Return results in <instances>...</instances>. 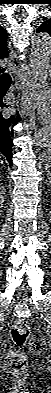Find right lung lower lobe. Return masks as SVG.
<instances>
[{
  "mask_svg": "<svg viewBox=\"0 0 51 393\" xmlns=\"http://www.w3.org/2000/svg\"><path fill=\"white\" fill-rule=\"evenodd\" d=\"M8 105L3 103V95L0 94V154H3L10 165H12V138L13 127L20 121V116H8L3 108Z\"/></svg>",
  "mask_w": 51,
  "mask_h": 393,
  "instance_id": "1",
  "label": "right lung lower lobe"
}]
</instances>
